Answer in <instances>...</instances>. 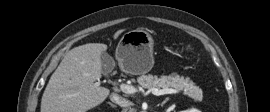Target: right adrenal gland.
Returning a JSON list of instances; mask_svg holds the SVG:
<instances>
[{"label": "right adrenal gland", "instance_id": "right-adrenal-gland-1", "mask_svg": "<svg viewBox=\"0 0 270 112\" xmlns=\"http://www.w3.org/2000/svg\"><path fill=\"white\" fill-rule=\"evenodd\" d=\"M108 104H109L111 107H113V108H116V107H117L116 105L112 104L111 102H108Z\"/></svg>", "mask_w": 270, "mask_h": 112}]
</instances>
